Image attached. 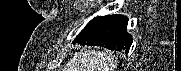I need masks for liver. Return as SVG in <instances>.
<instances>
[{"mask_svg":"<svg viewBox=\"0 0 181 71\" xmlns=\"http://www.w3.org/2000/svg\"><path fill=\"white\" fill-rule=\"evenodd\" d=\"M117 61L104 51L84 50L75 53L64 71H115Z\"/></svg>","mask_w":181,"mask_h":71,"instance_id":"liver-1","label":"liver"}]
</instances>
